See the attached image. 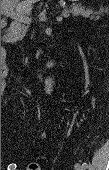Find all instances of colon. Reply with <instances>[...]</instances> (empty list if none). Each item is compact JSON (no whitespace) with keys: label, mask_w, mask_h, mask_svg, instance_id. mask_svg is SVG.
Here are the masks:
<instances>
[{"label":"colon","mask_w":109,"mask_h":170,"mask_svg":"<svg viewBox=\"0 0 109 170\" xmlns=\"http://www.w3.org/2000/svg\"><path fill=\"white\" fill-rule=\"evenodd\" d=\"M27 170H42L41 166L37 163L30 164L27 168Z\"/></svg>","instance_id":"colon-1"}]
</instances>
